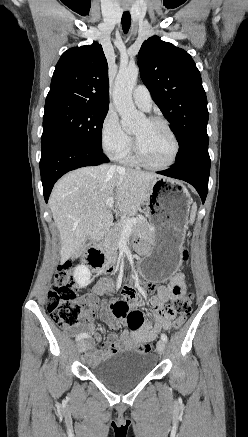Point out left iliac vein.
<instances>
[{
	"label": "left iliac vein",
	"instance_id": "left-iliac-vein-1",
	"mask_svg": "<svg viewBox=\"0 0 248 437\" xmlns=\"http://www.w3.org/2000/svg\"><path fill=\"white\" fill-rule=\"evenodd\" d=\"M157 352L162 355L165 352V342L163 340H159L156 345Z\"/></svg>",
	"mask_w": 248,
	"mask_h": 437
}]
</instances>
